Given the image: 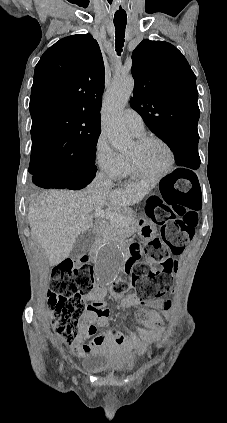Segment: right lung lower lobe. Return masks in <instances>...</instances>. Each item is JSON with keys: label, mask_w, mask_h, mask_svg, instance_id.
Wrapping results in <instances>:
<instances>
[{"label": "right lung lower lobe", "mask_w": 227, "mask_h": 423, "mask_svg": "<svg viewBox=\"0 0 227 423\" xmlns=\"http://www.w3.org/2000/svg\"><path fill=\"white\" fill-rule=\"evenodd\" d=\"M43 168L45 171L32 174V181L35 185L45 189H82L93 180L96 174L74 170L72 165L56 160L47 161Z\"/></svg>", "instance_id": "1"}]
</instances>
